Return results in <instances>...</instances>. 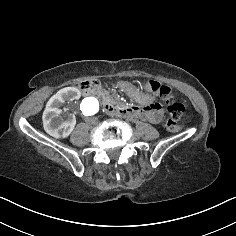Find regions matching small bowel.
Listing matches in <instances>:
<instances>
[{"label": "small bowel", "instance_id": "1", "mask_svg": "<svg viewBox=\"0 0 236 236\" xmlns=\"http://www.w3.org/2000/svg\"><path fill=\"white\" fill-rule=\"evenodd\" d=\"M139 116L149 120L152 123H159L162 118V109L158 104H152L146 107H138Z\"/></svg>", "mask_w": 236, "mask_h": 236}]
</instances>
